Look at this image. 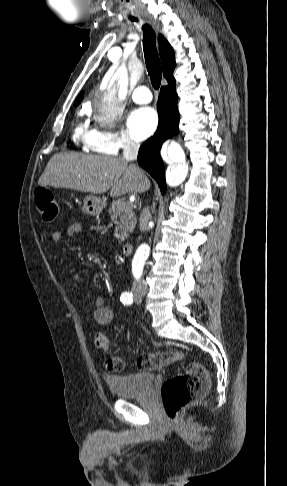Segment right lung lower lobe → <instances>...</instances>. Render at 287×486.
<instances>
[{
    "mask_svg": "<svg viewBox=\"0 0 287 486\" xmlns=\"http://www.w3.org/2000/svg\"><path fill=\"white\" fill-rule=\"evenodd\" d=\"M175 81L162 87L157 102L159 124L156 133L139 149L138 163L157 181L161 192L166 191L164 164L160 157V148L165 140L178 134L179 112Z\"/></svg>",
    "mask_w": 287,
    "mask_h": 486,
    "instance_id": "98d812e1",
    "label": "right lung lower lobe"
}]
</instances>
